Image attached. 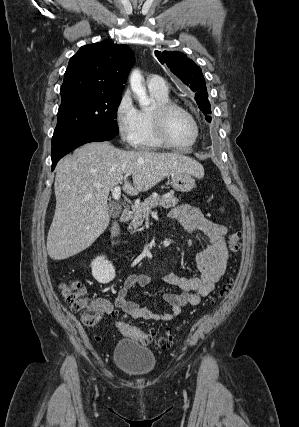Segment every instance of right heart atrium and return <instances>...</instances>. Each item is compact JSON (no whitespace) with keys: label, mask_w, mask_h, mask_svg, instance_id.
Instances as JSON below:
<instances>
[{"label":"right heart atrium","mask_w":299,"mask_h":427,"mask_svg":"<svg viewBox=\"0 0 299 427\" xmlns=\"http://www.w3.org/2000/svg\"><path fill=\"white\" fill-rule=\"evenodd\" d=\"M114 120L121 141L128 146H136L141 128L140 112L129 91H124L120 96Z\"/></svg>","instance_id":"d8ad5b80"}]
</instances>
